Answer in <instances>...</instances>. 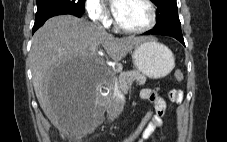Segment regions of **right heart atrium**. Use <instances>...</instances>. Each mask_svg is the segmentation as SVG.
<instances>
[{
    "label": "right heart atrium",
    "mask_w": 227,
    "mask_h": 142,
    "mask_svg": "<svg viewBox=\"0 0 227 142\" xmlns=\"http://www.w3.org/2000/svg\"><path fill=\"white\" fill-rule=\"evenodd\" d=\"M84 8L88 18L103 27L110 24V16L99 0H85Z\"/></svg>",
    "instance_id": "obj_1"
}]
</instances>
